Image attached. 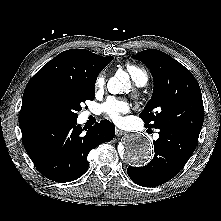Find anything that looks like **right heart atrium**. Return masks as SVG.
Returning <instances> with one entry per match:
<instances>
[{
	"mask_svg": "<svg viewBox=\"0 0 221 221\" xmlns=\"http://www.w3.org/2000/svg\"><path fill=\"white\" fill-rule=\"evenodd\" d=\"M105 86V76L104 74H99L95 80V90L101 91Z\"/></svg>",
	"mask_w": 221,
	"mask_h": 221,
	"instance_id": "obj_1",
	"label": "right heart atrium"
}]
</instances>
